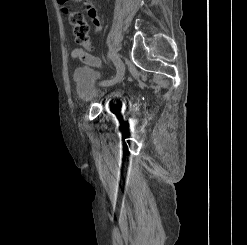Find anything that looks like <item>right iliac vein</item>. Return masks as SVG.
<instances>
[{"label":"right iliac vein","instance_id":"right-iliac-vein-1","mask_svg":"<svg viewBox=\"0 0 247 245\" xmlns=\"http://www.w3.org/2000/svg\"><path fill=\"white\" fill-rule=\"evenodd\" d=\"M111 60L113 61V63L116 66L117 74L112 80L106 81L104 83L105 85H112V84L119 82L122 79L124 72H125L124 64H123L120 56L114 50L112 51V59Z\"/></svg>","mask_w":247,"mask_h":245}]
</instances>
